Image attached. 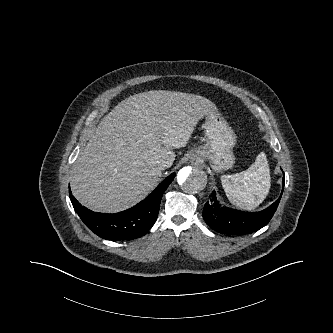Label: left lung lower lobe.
Instances as JSON below:
<instances>
[{
	"label": "left lung lower lobe",
	"instance_id": "left-lung-lower-lobe-1",
	"mask_svg": "<svg viewBox=\"0 0 333 333\" xmlns=\"http://www.w3.org/2000/svg\"><path fill=\"white\" fill-rule=\"evenodd\" d=\"M284 181L283 177V187ZM211 202L212 204H205L203 218L212 229L224 234H250L269 223L278 207L280 197L260 212H242L221 207L215 192H212Z\"/></svg>",
	"mask_w": 333,
	"mask_h": 333
}]
</instances>
